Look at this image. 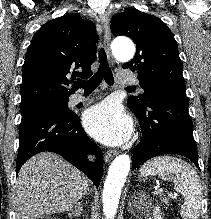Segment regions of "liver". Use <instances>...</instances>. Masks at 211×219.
Masks as SVG:
<instances>
[{"mask_svg": "<svg viewBox=\"0 0 211 219\" xmlns=\"http://www.w3.org/2000/svg\"><path fill=\"white\" fill-rule=\"evenodd\" d=\"M89 188L85 175L62 157L39 153L18 173L13 199L16 219H38L71 210Z\"/></svg>", "mask_w": 211, "mask_h": 219, "instance_id": "6515ba94", "label": "liver"}]
</instances>
